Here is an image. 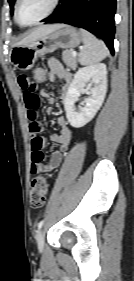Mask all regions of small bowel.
Listing matches in <instances>:
<instances>
[{
  "label": "small bowel",
  "instance_id": "obj_1",
  "mask_svg": "<svg viewBox=\"0 0 134 281\" xmlns=\"http://www.w3.org/2000/svg\"><path fill=\"white\" fill-rule=\"evenodd\" d=\"M49 72L47 74V80L52 83L56 79H59L63 83L62 93L60 100L64 103L67 98V91L71 82V74L63 67V65L55 58H50L48 61ZM17 84L22 91L23 101L26 107L27 116L30 121L29 130L32 134L31 150H32V162L31 172L33 174H46L56 168H58L62 161L63 155L67 151L72 139V131L69 127L67 120L63 117L58 118V126L60 132L58 134H52L50 140L59 146V149L55 150L48 161L43 164L44 159L43 149L45 145V139L40 135L43 130L42 122L39 119V103L40 96L46 98L50 104L55 102V99L51 96L48 90H42L40 96L36 93L37 83L34 78L28 74H20L17 77Z\"/></svg>",
  "mask_w": 134,
  "mask_h": 281
}]
</instances>
